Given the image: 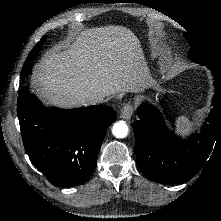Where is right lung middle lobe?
Segmentation results:
<instances>
[{
  "label": "right lung middle lobe",
  "instance_id": "right-lung-middle-lobe-1",
  "mask_svg": "<svg viewBox=\"0 0 221 221\" xmlns=\"http://www.w3.org/2000/svg\"><path fill=\"white\" fill-rule=\"evenodd\" d=\"M45 38L46 36L42 37V39L36 44L34 49L28 55L21 71V80H24L25 78H27L29 74L31 73L33 61L35 60L37 56V52L41 49Z\"/></svg>",
  "mask_w": 221,
  "mask_h": 221
}]
</instances>
